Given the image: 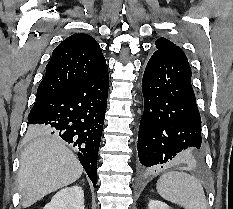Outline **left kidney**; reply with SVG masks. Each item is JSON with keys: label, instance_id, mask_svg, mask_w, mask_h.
<instances>
[{"label": "left kidney", "instance_id": "left-kidney-1", "mask_svg": "<svg viewBox=\"0 0 233 209\" xmlns=\"http://www.w3.org/2000/svg\"><path fill=\"white\" fill-rule=\"evenodd\" d=\"M148 209H171L166 203L158 200H150Z\"/></svg>", "mask_w": 233, "mask_h": 209}]
</instances>
